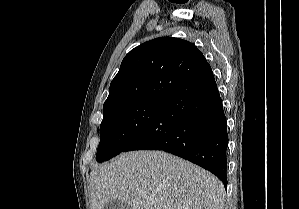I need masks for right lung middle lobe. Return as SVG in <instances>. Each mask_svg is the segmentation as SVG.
<instances>
[{"label": "right lung middle lobe", "instance_id": "right-lung-middle-lobe-1", "mask_svg": "<svg viewBox=\"0 0 299 209\" xmlns=\"http://www.w3.org/2000/svg\"><path fill=\"white\" fill-rule=\"evenodd\" d=\"M164 102L142 101L104 111L96 159L104 162L123 152L158 113Z\"/></svg>", "mask_w": 299, "mask_h": 209}]
</instances>
